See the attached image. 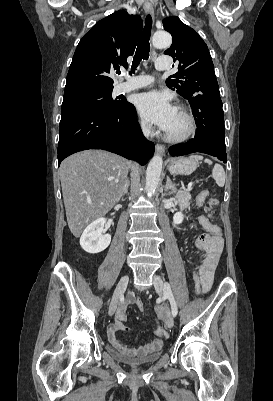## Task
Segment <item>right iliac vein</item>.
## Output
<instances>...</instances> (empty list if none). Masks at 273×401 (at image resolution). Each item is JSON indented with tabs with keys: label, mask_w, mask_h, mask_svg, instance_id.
Segmentation results:
<instances>
[{
	"label": "right iliac vein",
	"mask_w": 273,
	"mask_h": 401,
	"mask_svg": "<svg viewBox=\"0 0 273 401\" xmlns=\"http://www.w3.org/2000/svg\"><path fill=\"white\" fill-rule=\"evenodd\" d=\"M128 281H129V277L127 275H125L120 279L119 283L117 284L116 289H115V291L113 293V296H112L111 303L109 305V311L108 312H109L110 316L115 313L116 307H117L118 302H119V299L123 295V293H124V291H125V289L127 287Z\"/></svg>",
	"instance_id": "right-iliac-vein-1"
}]
</instances>
